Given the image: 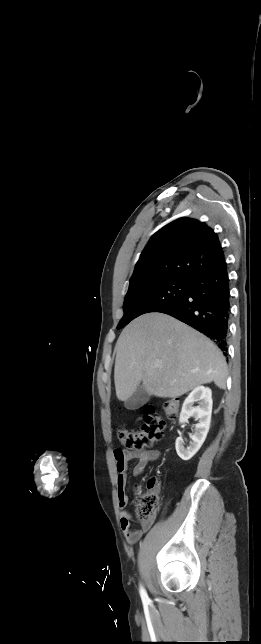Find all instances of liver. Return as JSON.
Returning a JSON list of instances; mask_svg holds the SVG:
<instances>
[{
  "label": "liver",
  "mask_w": 261,
  "mask_h": 644,
  "mask_svg": "<svg viewBox=\"0 0 261 644\" xmlns=\"http://www.w3.org/2000/svg\"><path fill=\"white\" fill-rule=\"evenodd\" d=\"M116 395L126 401L142 382L149 395L176 398L214 382L224 389L225 357L206 336L162 313L134 319L116 343ZM159 366H156V365Z\"/></svg>",
  "instance_id": "liver-1"
}]
</instances>
